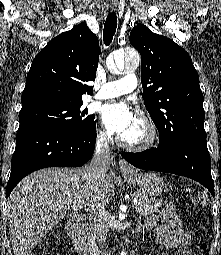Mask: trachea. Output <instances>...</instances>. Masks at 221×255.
I'll return each instance as SVG.
<instances>
[{
	"mask_svg": "<svg viewBox=\"0 0 221 255\" xmlns=\"http://www.w3.org/2000/svg\"><path fill=\"white\" fill-rule=\"evenodd\" d=\"M117 28V16L115 12L109 13L103 30V39L105 45H109L112 42L113 36Z\"/></svg>",
	"mask_w": 221,
	"mask_h": 255,
	"instance_id": "trachea-1",
	"label": "trachea"
}]
</instances>
